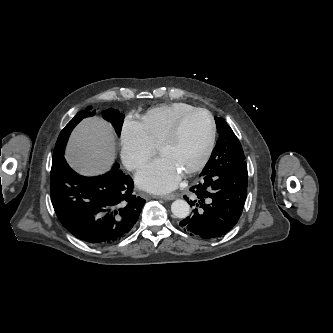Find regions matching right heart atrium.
Returning <instances> with one entry per match:
<instances>
[{"label": "right heart atrium", "instance_id": "right-heart-atrium-1", "mask_svg": "<svg viewBox=\"0 0 333 333\" xmlns=\"http://www.w3.org/2000/svg\"><path fill=\"white\" fill-rule=\"evenodd\" d=\"M156 150L141 121L127 116L120 129V156L125 167L135 171L143 166Z\"/></svg>", "mask_w": 333, "mask_h": 333}]
</instances>
